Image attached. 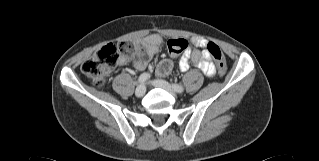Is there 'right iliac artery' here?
Wrapping results in <instances>:
<instances>
[{"label": "right iliac artery", "mask_w": 319, "mask_h": 161, "mask_svg": "<svg viewBox=\"0 0 319 161\" xmlns=\"http://www.w3.org/2000/svg\"><path fill=\"white\" fill-rule=\"evenodd\" d=\"M151 75L149 73H142L139 78L138 81L139 83H144L146 82L148 79H150Z\"/></svg>", "instance_id": "82829eb1"}]
</instances>
